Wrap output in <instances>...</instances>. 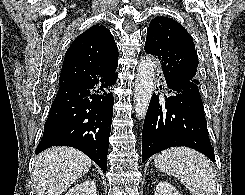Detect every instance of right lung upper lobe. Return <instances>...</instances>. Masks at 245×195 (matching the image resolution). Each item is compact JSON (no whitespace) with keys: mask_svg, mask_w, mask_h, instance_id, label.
Masks as SVG:
<instances>
[{"mask_svg":"<svg viewBox=\"0 0 245 195\" xmlns=\"http://www.w3.org/2000/svg\"><path fill=\"white\" fill-rule=\"evenodd\" d=\"M118 50L110 31L94 25L80 34L68 48L59 85L91 79L97 71L115 73Z\"/></svg>","mask_w":245,"mask_h":195,"instance_id":"cb5924a9","label":"right lung upper lobe"}]
</instances>
